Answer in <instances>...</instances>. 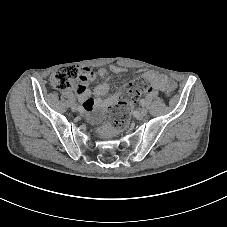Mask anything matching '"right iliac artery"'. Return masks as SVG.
<instances>
[{
    "label": "right iliac artery",
    "mask_w": 227,
    "mask_h": 227,
    "mask_svg": "<svg viewBox=\"0 0 227 227\" xmlns=\"http://www.w3.org/2000/svg\"><path fill=\"white\" fill-rule=\"evenodd\" d=\"M78 111H79L80 113H83L85 110H84V108H83V107L78 106Z\"/></svg>",
    "instance_id": "obj_1"
}]
</instances>
